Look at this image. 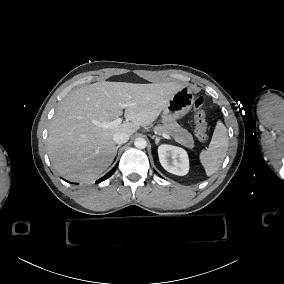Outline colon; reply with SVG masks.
<instances>
[{"instance_id": "5ec220e1", "label": "colon", "mask_w": 284, "mask_h": 284, "mask_svg": "<svg viewBox=\"0 0 284 284\" xmlns=\"http://www.w3.org/2000/svg\"><path fill=\"white\" fill-rule=\"evenodd\" d=\"M194 120L196 135L201 141L207 140V117L206 112L203 109L204 100L201 96H195L193 98Z\"/></svg>"}]
</instances>
